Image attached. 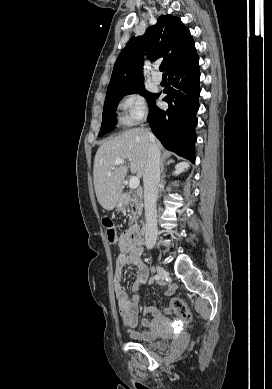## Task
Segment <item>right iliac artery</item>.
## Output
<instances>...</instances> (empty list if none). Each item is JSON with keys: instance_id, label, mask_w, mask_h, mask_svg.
<instances>
[{"instance_id": "obj_1", "label": "right iliac artery", "mask_w": 272, "mask_h": 389, "mask_svg": "<svg viewBox=\"0 0 272 389\" xmlns=\"http://www.w3.org/2000/svg\"><path fill=\"white\" fill-rule=\"evenodd\" d=\"M159 276L158 275H155V276H153L152 278H151V281H154V280H159Z\"/></svg>"}]
</instances>
